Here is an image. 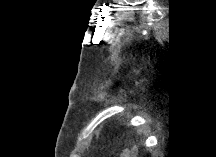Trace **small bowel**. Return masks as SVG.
<instances>
[{
    "label": "small bowel",
    "mask_w": 216,
    "mask_h": 157,
    "mask_svg": "<svg viewBox=\"0 0 216 157\" xmlns=\"http://www.w3.org/2000/svg\"><path fill=\"white\" fill-rule=\"evenodd\" d=\"M136 154V150L132 149V150H126L123 152L122 156L123 157H132Z\"/></svg>",
    "instance_id": "c3829d8e"
}]
</instances>
